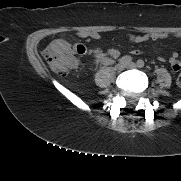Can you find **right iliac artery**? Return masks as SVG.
Here are the masks:
<instances>
[{
	"instance_id": "right-iliac-artery-1",
	"label": "right iliac artery",
	"mask_w": 181,
	"mask_h": 181,
	"mask_svg": "<svg viewBox=\"0 0 181 181\" xmlns=\"http://www.w3.org/2000/svg\"><path fill=\"white\" fill-rule=\"evenodd\" d=\"M132 61V57L129 55L123 56L122 58H120L119 62L120 63H124V64H128Z\"/></svg>"
}]
</instances>
